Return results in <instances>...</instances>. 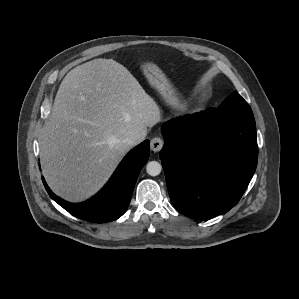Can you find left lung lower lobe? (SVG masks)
Segmentation results:
<instances>
[{"label":"left lung lower lobe","instance_id":"1","mask_svg":"<svg viewBox=\"0 0 299 299\" xmlns=\"http://www.w3.org/2000/svg\"><path fill=\"white\" fill-rule=\"evenodd\" d=\"M208 110L162 125L160 159L171 202L194 219L234 207L257 166L254 117L220 118Z\"/></svg>","mask_w":299,"mask_h":299}]
</instances>
